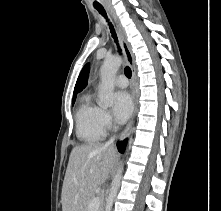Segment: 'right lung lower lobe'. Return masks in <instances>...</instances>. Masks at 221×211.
Instances as JSON below:
<instances>
[{
    "label": "right lung lower lobe",
    "instance_id": "right-lung-lower-lobe-1",
    "mask_svg": "<svg viewBox=\"0 0 221 211\" xmlns=\"http://www.w3.org/2000/svg\"><path fill=\"white\" fill-rule=\"evenodd\" d=\"M126 143H127V139L122 142H118L117 146H118L119 152H121V153L124 152Z\"/></svg>",
    "mask_w": 221,
    "mask_h": 211
}]
</instances>
